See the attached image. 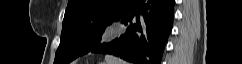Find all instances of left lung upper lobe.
I'll return each instance as SVG.
<instances>
[{"instance_id": "obj_1", "label": "left lung upper lobe", "mask_w": 242, "mask_h": 64, "mask_svg": "<svg viewBox=\"0 0 242 64\" xmlns=\"http://www.w3.org/2000/svg\"><path fill=\"white\" fill-rule=\"evenodd\" d=\"M133 0H69L54 64H68L101 42L106 27Z\"/></svg>"}]
</instances>
